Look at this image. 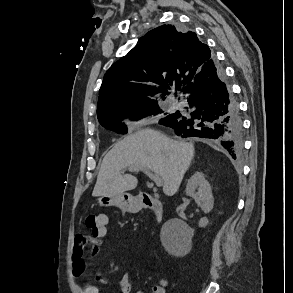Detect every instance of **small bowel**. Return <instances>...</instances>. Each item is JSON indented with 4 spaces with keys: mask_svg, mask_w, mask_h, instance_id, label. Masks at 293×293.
I'll return each instance as SVG.
<instances>
[{
    "mask_svg": "<svg viewBox=\"0 0 293 293\" xmlns=\"http://www.w3.org/2000/svg\"><path fill=\"white\" fill-rule=\"evenodd\" d=\"M106 233L107 228H105L103 233L99 236H93L85 232H80L76 235L72 250V271L75 276L81 277L85 275L88 260L100 254L103 238ZM97 280L103 284H107L101 275H97ZM165 286L166 282H162V285L157 287L160 293H165ZM117 288L120 293H144L140 290L134 291L131 277L128 273L122 275L117 284ZM80 293H99V288L91 283H85L80 286Z\"/></svg>",
    "mask_w": 293,
    "mask_h": 293,
    "instance_id": "obj_1",
    "label": "small bowel"
}]
</instances>
